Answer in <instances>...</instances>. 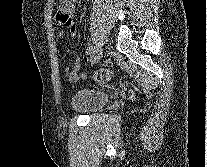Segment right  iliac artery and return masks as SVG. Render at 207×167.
<instances>
[{"label": "right iliac artery", "instance_id": "82829eb1", "mask_svg": "<svg viewBox=\"0 0 207 167\" xmlns=\"http://www.w3.org/2000/svg\"><path fill=\"white\" fill-rule=\"evenodd\" d=\"M94 47H93V45H90L89 47H88V49H87V53L89 54V55H91L93 52H94Z\"/></svg>", "mask_w": 207, "mask_h": 167}]
</instances>
